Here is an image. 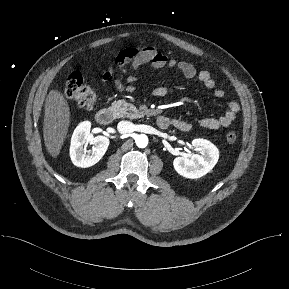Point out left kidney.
Instances as JSON below:
<instances>
[{"label": "left kidney", "instance_id": "obj_1", "mask_svg": "<svg viewBox=\"0 0 289 289\" xmlns=\"http://www.w3.org/2000/svg\"><path fill=\"white\" fill-rule=\"evenodd\" d=\"M192 146L201 155L194 154L190 158L177 157L173 161L174 169L183 177L196 179L210 172L219 158L217 147L208 140L194 139Z\"/></svg>", "mask_w": 289, "mask_h": 289}]
</instances>
